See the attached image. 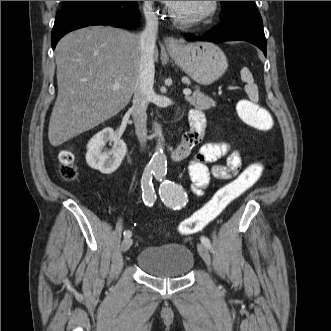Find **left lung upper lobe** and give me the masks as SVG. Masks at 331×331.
Segmentation results:
<instances>
[{
	"label": "left lung upper lobe",
	"mask_w": 331,
	"mask_h": 331,
	"mask_svg": "<svg viewBox=\"0 0 331 331\" xmlns=\"http://www.w3.org/2000/svg\"><path fill=\"white\" fill-rule=\"evenodd\" d=\"M221 4L223 8L221 20L258 13L254 1H221Z\"/></svg>",
	"instance_id": "5c2ea615"
}]
</instances>
